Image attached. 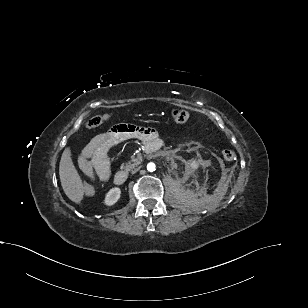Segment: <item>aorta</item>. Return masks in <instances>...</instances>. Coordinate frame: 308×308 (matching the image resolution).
Segmentation results:
<instances>
[{
  "instance_id": "obj_1",
  "label": "aorta",
  "mask_w": 308,
  "mask_h": 308,
  "mask_svg": "<svg viewBox=\"0 0 308 308\" xmlns=\"http://www.w3.org/2000/svg\"><path fill=\"white\" fill-rule=\"evenodd\" d=\"M147 170L150 171V172L155 171V170H156L155 164H154V163H149V164L147 165Z\"/></svg>"
}]
</instances>
